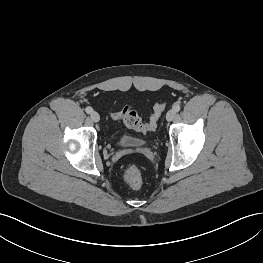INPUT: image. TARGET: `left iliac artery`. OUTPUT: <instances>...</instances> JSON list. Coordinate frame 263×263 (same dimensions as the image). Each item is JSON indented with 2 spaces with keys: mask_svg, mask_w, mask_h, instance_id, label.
Returning a JSON list of instances; mask_svg holds the SVG:
<instances>
[{
  "mask_svg": "<svg viewBox=\"0 0 263 263\" xmlns=\"http://www.w3.org/2000/svg\"><path fill=\"white\" fill-rule=\"evenodd\" d=\"M180 109H181L180 105L177 104V105L174 106V110H175L176 112H179Z\"/></svg>",
  "mask_w": 263,
  "mask_h": 263,
  "instance_id": "left-iliac-artery-1",
  "label": "left iliac artery"
}]
</instances>
